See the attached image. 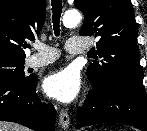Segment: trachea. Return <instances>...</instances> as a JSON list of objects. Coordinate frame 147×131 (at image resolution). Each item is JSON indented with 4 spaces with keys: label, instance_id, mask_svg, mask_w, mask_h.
I'll return each mask as SVG.
<instances>
[{
    "label": "trachea",
    "instance_id": "trachea-1",
    "mask_svg": "<svg viewBox=\"0 0 147 131\" xmlns=\"http://www.w3.org/2000/svg\"><path fill=\"white\" fill-rule=\"evenodd\" d=\"M52 20H53V29L56 36L59 35V23L62 13V0H52Z\"/></svg>",
    "mask_w": 147,
    "mask_h": 131
}]
</instances>
